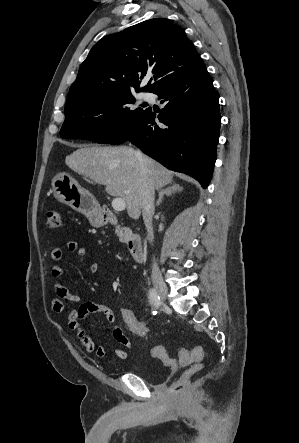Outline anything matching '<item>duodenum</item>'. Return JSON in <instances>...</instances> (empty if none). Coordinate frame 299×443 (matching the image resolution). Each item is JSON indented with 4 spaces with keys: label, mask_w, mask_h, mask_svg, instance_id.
<instances>
[{
    "label": "duodenum",
    "mask_w": 299,
    "mask_h": 443,
    "mask_svg": "<svg viewBox=\"0 0 299 443\" xmlns=\"http://www.w3.org/2000/svg\"><path fill=\"white\" fill-rule=\"evenodd\" d=\"M100 219L105 224L116 225L118 222L117 217L114 215V213L112 211H110L109 209H105V208H102L100 211ZM126 245H127V248H128V251H129L131 257L135 261H142V259H143V245H142L141 238L137 235H131L127 239Z\"/></svg>",
    "instance_id": "410a0bca"
}]
</instances>
